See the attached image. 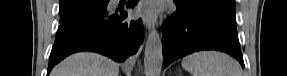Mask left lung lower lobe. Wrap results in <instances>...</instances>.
<instances>
[{"label": "left lung lower lobe", "instance_id": "1", "mask_svg": "<svg viewBox=\"0 0 287 76\" xmlns=\"http://www.w3.org/2000/svg\"><path fill=\"white\" fill-rule=\"evenodd\" d=\"M176 12L163 27L164 67L194 51L219 50L236 58L242 67L244 61L240 50L237 30L197 11L177 4Z\"/></svg>", "mask_w": 287, "mask_h": 76}]
</instances>
